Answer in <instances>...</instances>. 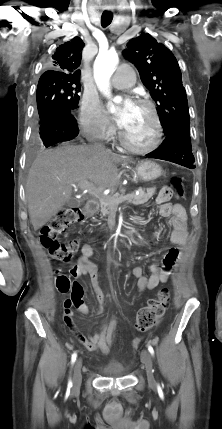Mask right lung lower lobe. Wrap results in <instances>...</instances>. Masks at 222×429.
I'll list each match as a JSON object with an SVG mask.
<instances>
[{"mask_svg":"<svg viewBox=\"0 0 222 429\" xmlns=\"http://www.w3.org/2000/svg\"><path fill=\"white\" fill-rule=\"evenodd\" d=\"M79 133L71 112L54 111L40 124V137L45 147L74 139Z\"/></svg>","mask_w":222,"mask_h":429,"instance_id":"1","label":"right lung lower lobe"}]
</instances>
